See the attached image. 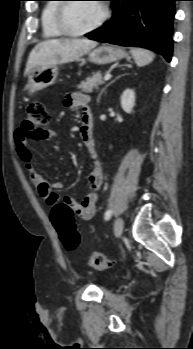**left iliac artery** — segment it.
<instances>
[{
	"mask_svg": "<svg viewBox=\"0 0 193 349\" xmlns=\"http://www.w3.org/2000/svg\"><path fill=\"white\" fill-rule=\"evenodd\" d=\"M111 214H112L111 210L106 211L105 216H104L105 220H109L111 217Z\"/></svg>",
	"mask_w": 193,
	"mask_h": 349,
	"instance_id": "1",
	"label": "left iliac artery"
}]
</instances>
